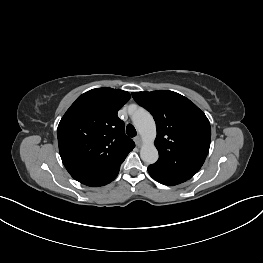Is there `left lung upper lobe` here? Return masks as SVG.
<instances>
[{"instance_id":"5c2ea615","label":"left lung upper lobe","mask_w":263,"mask_h":263,"mask_svg":"<svg viewBox=\"0 0 263 263\" xmlns=\"http://www.w3.org/2000/svg\"><path fill=\"white\" fill-rule=\"evenodd\" d=\"M132 96L156 122L159 159L150 166L169 176L190 179L209 151L211 128L206 115L176 92H133Z\"/></svg>"}]
</instances>
